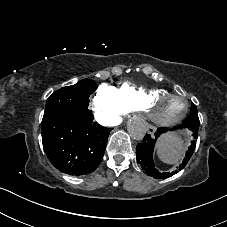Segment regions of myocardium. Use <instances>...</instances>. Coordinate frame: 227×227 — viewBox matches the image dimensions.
I'll return each instance as SVG.
<instances>
[{
    "label": "myocardium",
    "instance_id": "f54148a6",
    "mask_svg": "<svg viewBox=\"0 0 227 227\" xmlns=\"http://www.w3.org/2000/svg\"><path fill=\"white\" fill-rule=\"evenodd\" d=\"M164 99H181L183 101V106L180 112L170 118H161L155 112V108L164 100ZM189 109V103L185 95L182 94H172L167 93L154 97L146 102L143 108V113L145 118L152 124L162 126V125H173L184 118Z\"/></svg>",
    "mask_w": 227,
    "mask_h": 227
}]
</instances>
